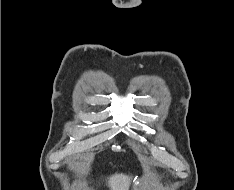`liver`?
Returning a JSON list of instances; mask_svg holds the SVG:
<instances>
[{"mask_svg": "<svg viewBox=\"0 0 234 190\" xmlns=\"http://www.w3.org/2000/svg\"><path fill=\"white\" fill-rule=\"evenodd\" d=\"M131 177L124 174L112 175L108 180L110 190H129Z\"/></svg>", "mask_w": 234, "mask_h": 190, "instance_id": "obj_1", "label": "liver"}]
</instances>
